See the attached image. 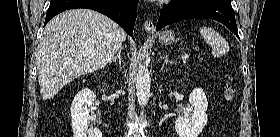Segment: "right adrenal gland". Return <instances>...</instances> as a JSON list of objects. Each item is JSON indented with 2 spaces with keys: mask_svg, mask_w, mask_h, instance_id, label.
I'll list each match as a JSON object with an SVG mask.
<instances>
[{
  "mask_svg": "<svg viewBox=\"0 0 280 137\" xmlns=\"http://www.w3.org/2000/svg\"><path fill=\"white\" fill-rule=\"evenodd\" d=\"M121 50L122 48H120L118 51H117V55L115 57H113L112 61H116L117 59L119 60V65H120V69L119 71L122 70V67H121Z\"/></svg>",
  "mask_w": 280,
  "mask_h": 137,
  "instance_id": "1",
  "label": "right adrenal gland"
}]
</instances>
